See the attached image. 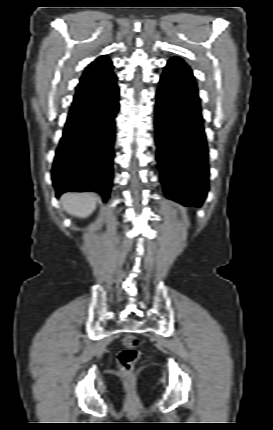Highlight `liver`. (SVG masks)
<instances>
[{
  "mask_svg": "<svg viewBox=\"0 0 273 430\" xmlns=\"http://www.w3.org/2000/svg\"><path fill=\"white\" fill-rule=\"evenodd\" d=\"M97 199L91 193H66L63 194L61 203L69 214L86 218L95 210Z\"/></svg>",
  "mask_w": 273,
  "mask_h": 430,
  "instance_id": "1",
  "label": "liver"
}]
</instances>
